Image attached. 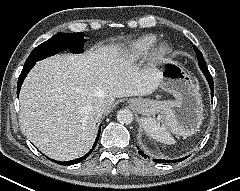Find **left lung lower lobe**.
I'll use <instances>...</instances> for the list:
<instances>
[{"label":"left lung lower lobe","instance_id":"obj_1","mask_svg":"<svg viewBox=\"0 0 240 191\" xmlns=\"http://www.w3.org/2000/svg\"><path fill=\"white\" fill-rule=\"evenodd\" d=\"M199 66H200L201 70L203 71L204 75H205L206 78H207V81H208V83H209V85H210V89H211V95H212V97H213V95H214L213 79H212V76H211L209 70L207 69V66H206V64H205L204 59L199 60ZM139 154H140L141 156L145 157V158L147 157L141 150H139ZM185 158H187V157H184V158H181V159H178V160H161V159H155L154 161H155V162H159V163H169V162H173V163H174V162H180V161L184 160Z\"/></svg>","mask_w":240,"mask_h":191}]
</instances>
